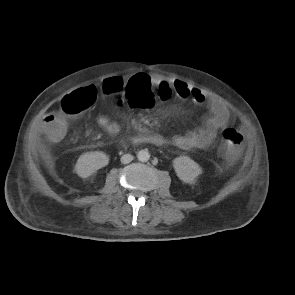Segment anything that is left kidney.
Returning a JSON list of instances; mask_svg holds the SVG:
<instances>
[{"mask_svg":"<svg viewBox=\"0 0 295 295\" xmlns=\"http://www.w3.org/2000/svg\"><path fill=\"white\" fill-rule=\"evenodd\" d=\"M173 167L180 180L194 184L201 173L200 166L187 156H179L173 160Z\"/></svg>","mask_w":295,"mask_h":295,"instance_id":"obj_1","label":"left kidney"}]
</instances>
